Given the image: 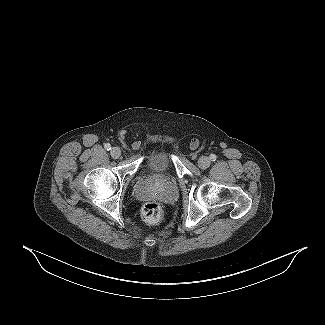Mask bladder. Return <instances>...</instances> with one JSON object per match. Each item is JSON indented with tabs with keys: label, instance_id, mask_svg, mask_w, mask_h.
I'll return each mask as SVG.
<instances>
[{
	"label": "bladder",
	"instance_id": "obj_1",
	"mask_svg": "<svg viewBox=\"0 0 325 325\" xmlns=\"http://www.w3.org/2000/svg\"><path fill=\"white\" fill-rule=\"evenodd\" d=\"M172 163L171 151L169 149H157L150 153L146 159V165L150 169H163Z\"/></svg>",
	"mask_w": 325,
	"mask_h": 325
}]
</instances>
